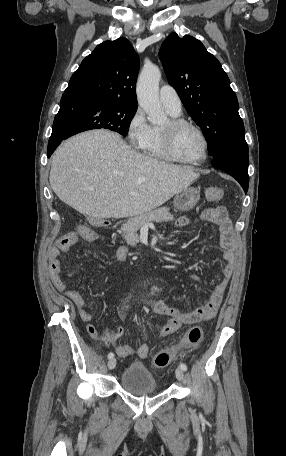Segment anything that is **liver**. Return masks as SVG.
Wrapping results in <instances>:
<instances>
[{
	"instance_id": "liver-1",
	"label": "liver",
	"mask_w": 286,
	"mask_h": 456,
	"mask_svg": "<svg viewBox=\"0 0 286 456\" xmlns=\"http://www.w3.org/2000/svg\"><path fill=\"white\" fill-rule=\"evenodd\" d=\"M198 177L191 167L161 162L132 150L113 132L93 130L58 147L49 180L61 201L100 220L150 212Z\"/></svg>"
}]
</instances>
